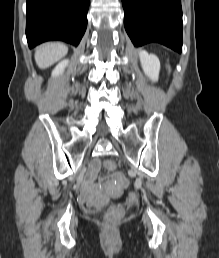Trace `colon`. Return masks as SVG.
<instances>
[{
	"label": "colon",
	"mask_w": 219,
	"mask_h": 258,
	"mask_svg": "<svg viewBox=\"0 0 219 258\" xmlns=\"http://www.w3.org/2000/svg\"><path fill=\"white\" fill-rule=\"evenodd\" d=\"M104 165L109 170L115 169V164L111 161H106ZM127 200L129 202H134L135 200H137V194L135 192H130L127 195ZM121 216H122V209L119 206L114 205L110 207V209L106 214V217H105L106 223L108 225H114Z\"/></svg>",
	"instance_id": "obj_1"
}]
</instances>
